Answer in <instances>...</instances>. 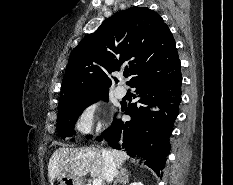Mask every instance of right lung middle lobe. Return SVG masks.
Segmentation results:
<instances>
[{
    "mask_svg": "<svg viewBox=\"0 0 233 185\" xmlns=\"http://www.w3.org/2000/svg\"><path fill=\"white\" fill-rule=\"evenodd\" d=\"M99 99L107 100L108 91L93 94L82 100L66 103L59 106L57 126L60 136L64 139L66 136L74 134V124L77 121L81 112L90 104ZM87 138H90L88 136Z\"/></svg>",
    "mask_w": 233,
    "mask_h": 185,
    "instance_id": "1",
    "label": "right lung middle lobe"
}]
</instances>
